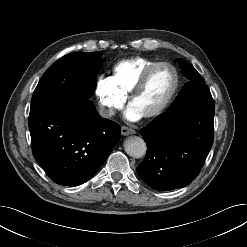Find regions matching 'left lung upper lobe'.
I'll list each match as a JSON object with an SVG mask.
<instances>
[{"instance_id": "1", "label": "left lung upper lobe", "mask_w": 247, "mask_h": 247, "mask_svg": "<svg viewBox=\"0 0 247 247\" xmlns=\"http://www.w3.org/2000/svg\"><path fill=\"white\" fill-rule=\"evenodd\" d=\"M179 65L183 70L184 75L190 80L184 88L181 90L175 101L172 105L181 102L187 96L192 94L198 88L205 85V80L201 77V75L184 59H178Z\"/></svg>"}]
</instances>
